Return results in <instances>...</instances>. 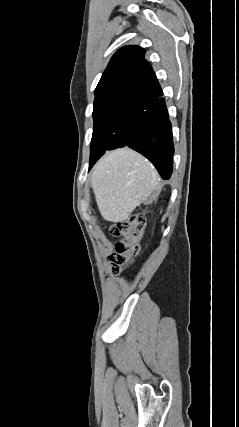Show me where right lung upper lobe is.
Returning <instances> with one entry per match:
<instances>
[{"label":"right lung upper lobe","instance_id":"cb5924a9","mask_svg":"<svg viewBox=\"0 0 239 427\" xmlns=\"http://www.w3.org/2000/svg\"><path fill=\"white\" fill-rule=\"evenodd\" d=\"M144 55L145 50L139 46L118 50L95 89L94 103L126 97L149 99L161 94L156 75Z\"/></svg>","mask_w":239,"mask_h":427}]
</instances>
